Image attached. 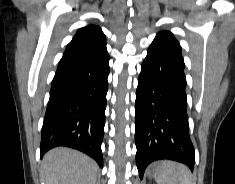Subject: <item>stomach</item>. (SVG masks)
<instances>
[{
  "mask_svg": "<svg viewBox=\"0 0 235 184\" xmlns=\"http://www.w3.org/2000/svg\"><path fill=\"white\" fill-rule=\"evenodd\" d=\"M154 170H155V164L154 166H152V168H150V170H148V176H152V174H154Z\"/></svg>",
  "mask_w": 235,
  "mask_h": 184,
  "instance_id": "0dacf381",
  "label": "stomach"
}]
</instances>
